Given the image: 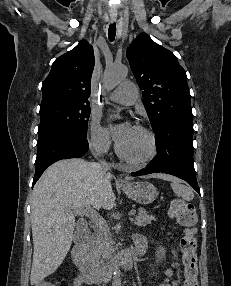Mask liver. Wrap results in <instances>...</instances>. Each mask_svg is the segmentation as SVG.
Listing matches in <instances>:
<instances>
[{"mask_svg": "<svg viewBox=\"0 0 231 286\" xmlns=\"http://www.w3.org/2000/svg\"><path fill=\"white\" fill-rule=\"evenodd\" d=\"M148 177L172 180L165 174ZM112 174L100 164L65 159L52 164L35 184L31 201L33 262L31 285L52 274L63 262L75 228L74 209L110 210L115 204Z\"/></svg>", "mask_w": 231, "mask_h": 286, "instance_id": "obj_1", "label": "liver"}]
</instances>
